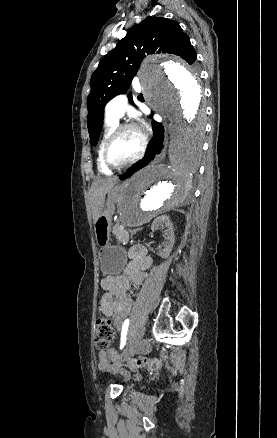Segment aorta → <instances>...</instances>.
<instances>
[{
	"mask_svg": "<svg viewBox=\"0 0 277 438\" xmlns=\"http://www.w3.org/2000/svg\"><path fill=\"white\" fill-rule=\"evenodd\" d=\"M150 106L169 122V164L149 165L127 183L119 202L120 220L140 226L182 204L190 193L204 133L202 86L197 71L182 61L149 57L139 70Z\"/></svg>",
	"mask_w": 277,
	"mask_h": 438,
	"instance_id": "aorta-1",
	"label": "aorta"
}]
</instances>
